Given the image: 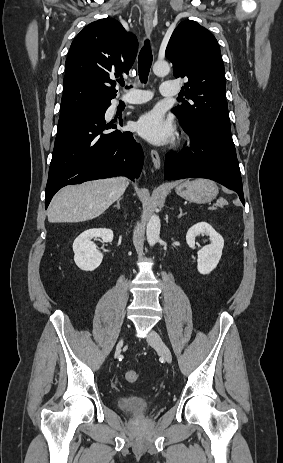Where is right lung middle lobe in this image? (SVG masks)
<instances>
[{
    "label": "right lung middle lobe",
    "mask_w": 283,
    "mask_h": 463,
    "mask_svg": "<svg viewBox=\"0 0 283 463\" xmlns=\"http://www.w3.org/2000/svg\"><path fill=\"white\" fill-rule=\"evenodd\" d=\"M89 105H91V104H88V105H86V106H83V107L78 108V109H75V110H70V111L61 112V113H60V117H64V116H66V115H69V114H71V113H74V112H76V111H78V110H81V109H83V108H85V107H87V106H89Z\"/></svg>",
    "instance_id": "obj_1"
}]
</instances>
